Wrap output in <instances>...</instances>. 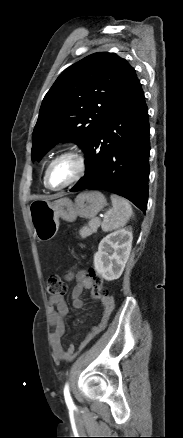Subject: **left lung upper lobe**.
Segmentation results:
<instances>
[{"label": "left lung upper lobe", "mask_w": 183, "mask_h": 438, "mask_svg": "<svg viewBox=\"0 0 183 438\" xmlns=\"http://www.w3.org/2000/svg\"><path fill=\"white\" fill-rule=\"evenodd\" d=\"M136 80L134 68L114 53H94L64 70L42 101L32 159L39 161L60 140L76 141L85 150Z\"/></svg>", "instance_id": "left-lung-upper-lobe-1"}]
</instances>
